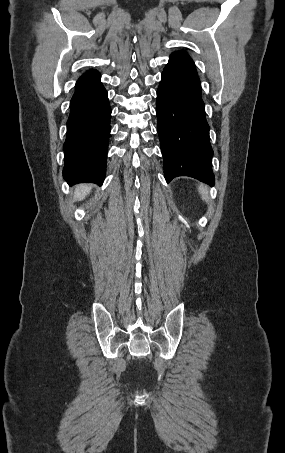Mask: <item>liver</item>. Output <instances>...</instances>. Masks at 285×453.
Returning a JSON list of instances; mask_svg holds the SVG:
<instances>
[{
	"label": "liver",
	"instance_id": "obj_1",
	"mask_svg": "<svg viewBox=\"0 0 285 453\" xmlns=\"http://www.w3.org/2000/svg\"><path fill=\"white\" fill-rule=\"evenodd\" d=\"M91 186L87 184L78 185L75 189V199L83 200L87 194H89Z\"/></svg>",
	"mask_w": 285,
	"mask_h": 453
}]
</instances>
